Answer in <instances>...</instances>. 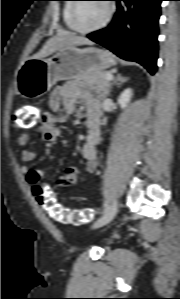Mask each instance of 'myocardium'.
Returning a JSON list of instances; mask_svg holds the SVG:
<instances>
[{
    "label": "myocardium",
    "mask_w": 180,
    "mask_h": 299,
    "mask_svg": "<svg viewBox=\"0 0 180 299\" xmlns=\"http://www.w3.org/2000/svg\"><path fill=\"white\" fill-rule=\"evenodd\" d=\"M75 1L76 2H74L72 4V7H71L70 21H71L73 29L76 32H78L80 34H89V33L97 32V31H100L103 28H105L110 23V21L112 20V17L114 15V11H115L114 5L110 0H105L106 1L105 3H106V7H107V12H106V16L103 19V21L100 24H98L94 27H91V28H81V27H79L76 23V12H77V9H78V6H79L80 2H78L79 0H75Z\"/></svg>",
    "instance_id": "1"
}]
</instances>
